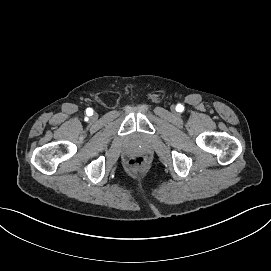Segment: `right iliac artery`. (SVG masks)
<instances>
[{
  "mask_svg": "<svg viewBox=\"0 0 271 271\" xmlns=\"http://www.w3.org/2000/svg\"><path fill=\"white\" fill-rule=\"evenodd\" d=\"M86 112H87V115L89 116L93 114V110L91 108H88Z\"/></svg>",
  "mask_w": 271,
  "mask_h": 271,
  "instance_id": "right-iliac-artery-1",
  "label": "right iliac artery"
}]
</instances>
